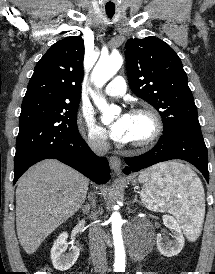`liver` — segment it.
Segmentation results:
<instances>
[{"instance_id":"liver-1","label":"liver","mask_w":215,"mask_h":274,"mask_svg":"<svg viewBox=\"0 0 215 274\" xmlns=\"http://www.w3.org/2000/svg\"><path fill=\"white\" fill-rule=\"evenodd\" d=\"M88 186L85 176L54 159L43 160L22 175L16 189V229L27 254L81 208Z\"/></svg>"}]
</instances>
